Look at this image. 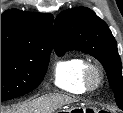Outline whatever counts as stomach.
Returning a JSON list of instances; mask_svg holds the SVG:
<instances>
[{
	"instance_id": "obj_1",
	"label": "stomach",
	"mask_w": 123,
	"mask_h": 113,
	"mask_svg": "<svg viewBox=\"0 0 123 113\" xmlns=\"http://www.w3.org/2000/svg\"><path fill=\"white\" fill-rule=\"evenodd\" d=\"M87 109L94 110L92 108H87L83 104H76L65 109L60 110L62 113H86Z\"/></svg>"
}]
</instances>
